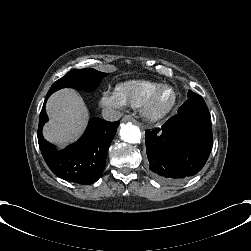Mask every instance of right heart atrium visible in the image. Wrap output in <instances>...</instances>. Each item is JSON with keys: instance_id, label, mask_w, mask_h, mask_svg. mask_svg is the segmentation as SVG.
Returning a JSON list of instances; mask_svg holds the SVG:
<instances>
[{"instance_id": "obj_1", "label": "right heart atrium", "mask_w": 251, "mask_h": 251, "mask_svg": "<svg viewBox=\"0 0 251 251\" xmlns=\"http://www.w3.org/2000/svg\"><path fill=\"white\" fill-rule=\"evenodd\" d=\"M100 105L103 107H112L117 109H122L124 103H122L115 93L109 91H104L99 98Z\"/></svg>"}]
</instances>
